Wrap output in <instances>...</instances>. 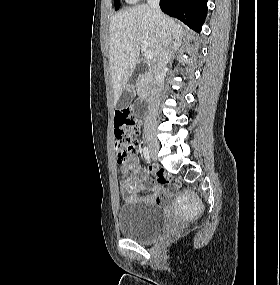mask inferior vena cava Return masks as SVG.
<instances>
[{
	"instance_id": "inferior-vena-cava-1",
	"label": "inferior vena cava",
	"mask_w": 280,
	"mask_h": 285,
	"mask_svg": "<svg viewBox=\"0 0 280 285\" xmlns=\"http://www.w3.org/2000/svg\"><path fill=\"white\" fill-rule=\"evenodd\" d=\"M151 8L157 25L158 42L154 57V81L151 94L148 99V111L145 118V125L152 126L156 121L158 106L163 89V76L167 63L170 60L172 46L171 36L165 18L160 10V0H147Z\"/></svg>"
}]
</instances>
